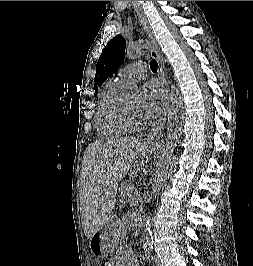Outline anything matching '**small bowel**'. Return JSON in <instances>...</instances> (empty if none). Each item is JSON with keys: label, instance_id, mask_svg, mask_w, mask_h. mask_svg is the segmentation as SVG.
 <instances>
[{"label": "small bowel", "instance_id": "1", "mask_svg": "<svg viewBox=\"0 0 253 266\" xmlns=\"http://www.w3.org/2000/svg\"><path fill=\"white\" fill-rule=\"evenodd\" d=\"M105 266H138L136 257L124 251H118Z\"/></svg>", "mask_w": 253, "mask_h": 266}]
</instances>
